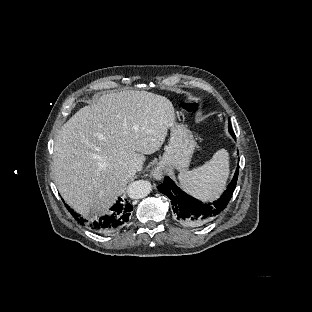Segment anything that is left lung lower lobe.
<instances>
[{
    "instance_id": "0a47b994",
    "label": "left lung lower lobe",
    "mask_w": 312,
    "mask_h": 312,
    "mask_svg": "<svg viewBox=\"0 0 312 312\" xmlns=\"http://www.w3.org/2000/svg\"><path fill=\"white\" fill-rule=\"evenodd\" d=\"M238 172L239 166L227 190L213 203H202L187 195L169 177L164 178L158 189L171 200V214L175 220L188 228L197 229L210 223L227 206L236 187Z\"/></svg>"
}]
</instances>
